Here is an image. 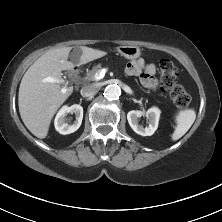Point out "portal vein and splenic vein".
Returning <instances> with one entry per match:
<instances>
[{"label": "portal vein and splenic vein", "mask_w": 222, "mask_h": 222, "mask_svg": "<svg viewBox=\"0 0 222 222\" xmlns=\"http://www.w3.org/2000/svg\"><path fill=\"white\" fill-rule=\"evenodd\" d=\"M104 75H105V70L102 69L98 73L95 74V79L100 80L104 77ZM45 81L54 83V82H57L58 80L53 77H47L45 78ZM65 91H66V88L65 87L62 88V92H65Z\"/></svg>", "instance_id": "portal-vein-and-splenic-vein-1"}]
</instances>
